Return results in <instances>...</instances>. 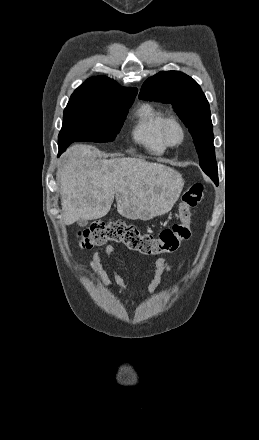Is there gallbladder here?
Instances as JSON below:
<instances>
[{"label":"gallbladder","instance_id":"gallbladder-1","mask_svg":"<svg viewBox=\"0 0 259 440\" xmlns=\"http://www.w3.org/2000/svg\"><path fill=\"white\" fill-rule=\"evenodd\" d=\"M77 224H78L80 227H85V226L88 224V221H87L86 219H79V220L77 221Z\"/></svg>","mask_w":259,"mask_h":440}]
</instances>
